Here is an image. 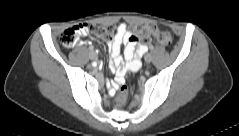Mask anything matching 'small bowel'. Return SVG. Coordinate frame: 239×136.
<instances>
[{"label": "small bowel", "mask_w": 239, "mask_h": 136, "mask_svg": "<svg viewBox=\"0 0 239 136\" xmlns=\"http://www.w3.org/2000/svg\"><path fill=\"white\" fill-rule=\"evenodd\" d=\"M111 51V70H116L119 79L117 84L122 81V77L129 71L139 68L141 56L144 55L148 46L139 44L134 40L133 35L127 30L125 23L117 25L115 35L108 41ZM124 47L123 56L126 63H123L121 49Z\"/></svg>", "instance_id": "obj_1"}]
</instances>
